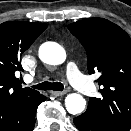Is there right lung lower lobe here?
Masks as SVG:
<instances>
[{
	"instance_id": "98d812e1",
	"label": "right lung lower lobe",
	"mask_w": 131,
	"mask_h": 131,
	"mask_svg": "<svg viewBox=\"0 0 131 131\" xmlns=\"http://www.w3.org/2000/svg\"><path fill=\"white\" fill-rule=\"evenodd\" d=\"M45 100L40 94L16 103L0 101V131H32L37 108Z\"/></svg>"
}]
</instances>
